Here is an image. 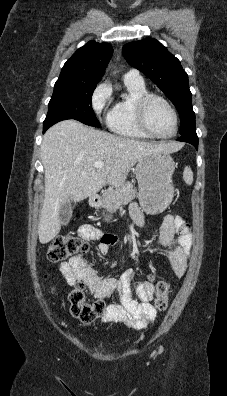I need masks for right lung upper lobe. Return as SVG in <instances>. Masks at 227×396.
Listing matches in <instances>:
<instances>
[{"mask_svg":"<svg viewBox=\"0 0 227 396\" xmlns=\"http://www.w3.org/2000/svg\"><path fill=\"white\" fill-rule=\"evenodd\" d=\"M112 54L113 48L108 43L90 41L79 48L64 64L59 78L99 82Z\"/></svg>","mask_w":227,"mask_h":396,"instance_id":"cb5924a9","label":"right lung upper lobe"}]
</instances>
